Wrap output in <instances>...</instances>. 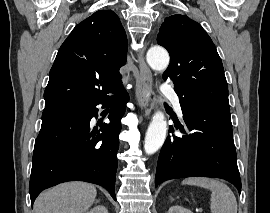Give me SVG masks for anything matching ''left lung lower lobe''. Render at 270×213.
Returning a JSON list of instances; mask_svg holds the SVG:
<instances>
[{
	"label": "left lung lower lobe",
	"instance_id": "obj_1",
	"mask_svg": "<svg viewBox=\"0 0 270 213\" xmlns=\"http://www.w3.org/2000/svg\"><path fill=\"white\" fill-rule=\"evenodd\" d=\"M180 105L191 133L182 138L167 137L158 159L155 187L170 179L203 176L225 179L240 193L230 110L181 100ZM175 127L185 132L181 125ZM169 131H173L172 126Z\"/></svg>",
	"mask_w": 270,
	"mask_h": 213
}]
</instances>
